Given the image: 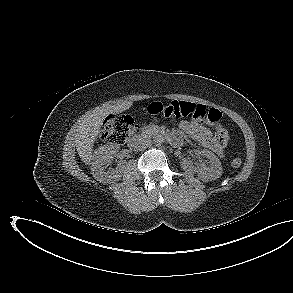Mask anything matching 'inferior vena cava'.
Masks as SVG:
<instances>
[{"mask_svg": "<svg viewBox=\"0 0 293 293\" xmlns=\"http://www.w3.org/2000/svg\"><path fill=\"white\" fill-rule=\"evenodd\" d=\"M152 141L148 138H139L136 142V145L134 147L137 151H142L151 146Z\"/></svg>", "mask_w": 293, "mask_h": 293, "instance_id": "1", "label": "inferior vena cava"}]
</instances>
